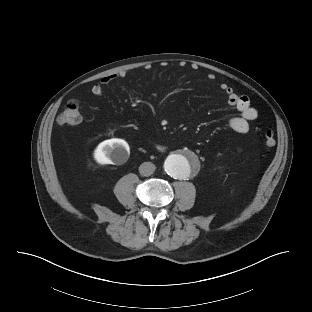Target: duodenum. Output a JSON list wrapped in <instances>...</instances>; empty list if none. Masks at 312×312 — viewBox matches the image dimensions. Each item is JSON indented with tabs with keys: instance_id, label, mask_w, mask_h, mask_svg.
I'll use <instances>...</instances> for the list:
<instances>
[{
	"instance_id": "obj_1",
	"label": "duodenum",
	"mask_w": 312,
	"mask_h": 312,
	"mask_svg": "<svg viewBox=\"0 0 312 312\" xmlns=\"http://www.w3.org/2000/svg\"><path fill=\"white\" fill-rule=\"evenodd\" d=\"M159 150H162L163 149V147L162 146H160V145H158V147H157Z\"/></svg>"
}]
</instances>
